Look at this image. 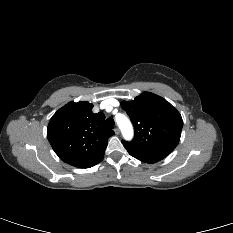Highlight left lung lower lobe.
<instances>
[{"mask_svg": "<svg viewBox=\"0 0 233 233\" xmlns=\"http://www.w3.org/2000/svg\"><path fill=\"white\" fill-rule=\"evenodd\" d=\"M127 149V148H126ZM128 153L133 156L134 158L145 162V163H156L162 159H164L167 155L163 154H154V153H146V152H135L127 149Z\"/></svg>", "mask_w": 233, "mask_h": 233, "instance_id": "obj_1", "label": "left lung lower lobe"}]
</instances>
